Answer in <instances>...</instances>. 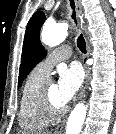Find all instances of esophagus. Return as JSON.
Returning <instances> with one entry per match:
<instances>
[{
	"mask_svg": "<svg viewBox=\"0 0 116 134\" xmlns=\"http://www.w3.org/2000/svg\"><path fill=\"white\" fill-rule=\"evenodd\" d=\"M75 7H76V12H77V16L79 21L82 23L83 21V9H82V4H81V0H75ZM86 49H87V53L86 56L83 59V65H84V69H85V79L84 82L82 84L80 93H79V99L82 98V96L85 93V89H86V85H87V80H88V76H89V68L87 65V58L90 55V46L87 43L86 44ZM64 125H65V121H63L55 130L56 133H61L62 130L64 129Z\"/></svg>",
	"mask_w": 116,
	"mask_h": 134,
	"instance_id": "obj_1",
	"label": "esophagus"
}]
</instances>
